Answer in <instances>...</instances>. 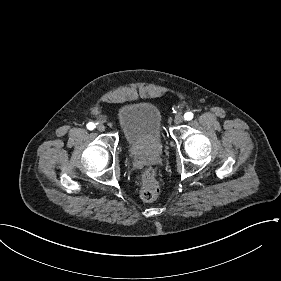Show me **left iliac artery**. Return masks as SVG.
<instances>
[{
  "mask_svg": "<svg viewBox=\"0 0 281 281\" xmlns=\"http://www.w3.org/2000/svg\"><path fill=\"white\" fill-rule=\"evenodd\" d=\"M193 118V113L192 112H187L184 115L185 120H191Z\"/></svg>",
  "mask_w": 281,
  "mask_h": 281,
  "instance_id": "1",
  "label": "left iliac artery"
}]
</instances>
